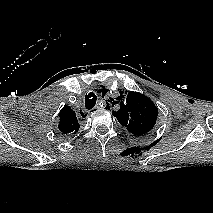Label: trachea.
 Instances as JSON below:
<instances>
[{"label":"trachea","instance_id":"3493384b","mask_svg":"<svg viewBox=\"0 0 213 213\" xmlns=\"http://www.w3.org/2000/svg\"><path fill=\"white\" fill-rule=\"evenodd\" d=\"M96 100H97L96 95L93 92H90L85 97V107L88 110L92 109L96 104Z\"/></svg>","mask_w":213,"mask_h":213}]
</instances>
